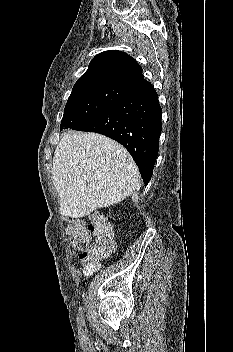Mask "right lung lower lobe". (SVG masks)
I'll return each mask as SVG.
<instances>
[{
  "label": "right lung lower lobe",
  "mask_w": 233,
  "mask_h": 352,
  "mask_svg": "<svg viewBox=\"0 0 233 352\" xmlns=\"http://www.w3.org/2000/svg\"><path fill=\"white\" fill-rule=\"evenodd\" d=\"M161 115L158 95L150 86L101 111L73 130L100 133L122 144L133 157L147 185L158 155Z\"/></svg>",
  "instance_id": "right-lung-lower-lobe-1"
}]
</instances>
